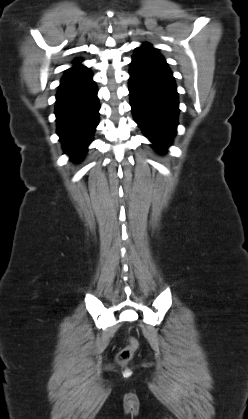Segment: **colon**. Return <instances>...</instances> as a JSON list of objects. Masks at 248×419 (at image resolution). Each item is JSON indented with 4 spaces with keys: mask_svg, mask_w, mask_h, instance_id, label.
I'll use <instances>...</instances> for the list:
<instances>
[{
    "mask_svg": "<svg viewBox=\"0 0 248 419\" xmlns=\"http://www.w3.org/2000/svg\"><path fill=\"white\" fill-rule=\"evenodd\" d=\"M138 347H139V344L135 338L133 337L128 338L126 346L123 347L117 353L116 359L118 363L120 364L128 363L132 359L135 352L138 350Z\"/></svg>",
    "mask_w": 248,
    "mask_h": 419,
    "instance_id": "obj_1",
    "label": "colon"
}]
</instances>
